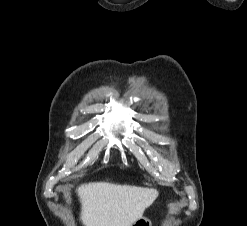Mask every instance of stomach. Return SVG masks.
Here are the masks:
<instances>
[{
  "label": "stomach",
  "instance_id": "1",
  "mask_svg": "<svg viewBox=\"0 0 247 226\" xmlns=\"http://www.w3.org/2000/svg\"><path fill=\"white\" fill-rule=\"evenodd\" d=\"M132 226H151V221L146 217H140Z\"/></svg>",
  "mask_w": 247,
  "mask_h": 226
}]
</instances>
